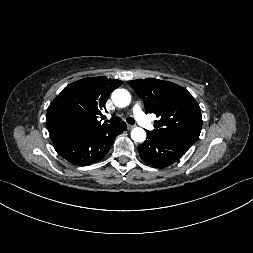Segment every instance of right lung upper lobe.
Masks as SVG:
<instances>
[{
	"label": "right lung upper lobe",
	"instance_id": "obj_1",
	"mask_svg": "<svg viewBox=\"0 0 253 253\" xmlns=\"http://www.w3.org/2000/svg\"><path fill=\"white\" fill-rule=\"evenodd\" d=\"M122 82L107 77L85 78L67 85L51 102L46 115V125L54 146L111 125L103 117L110 93Z\"/></svg>",
	"mask_w": 253,
	"mask_h": 253
}]
</instances>
